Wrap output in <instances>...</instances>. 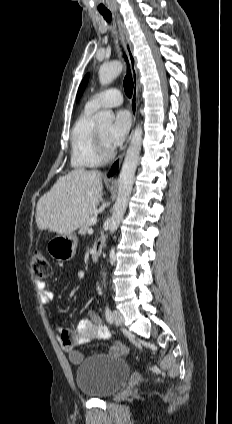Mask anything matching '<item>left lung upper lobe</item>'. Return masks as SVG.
Segmentation results:
<instances>
[{
	"mask_svg": "<svg viewBox=\"0 0 232 424\" xmlns=\"http://www.w3.org/2000/svg\"><path fill=\"white\" fill-rule=\"evenodd\" d=\"M88 78H89V74H87V75L84 77L83 81L81 82V84H80V86H79V89H78V93H77V100H78V99L80 98V96L82 95V93H83V91H84V89H85V86H86V84H87Z\"/></svg>",
	"mask_w": 232,
	"mask_h": 424,
	"instance_id": "left-lung-upper-lobe-1",
	"label": "left lung upper lobe"
}]
</instances>
